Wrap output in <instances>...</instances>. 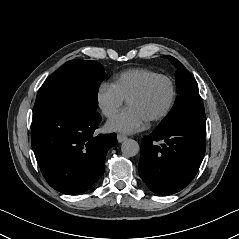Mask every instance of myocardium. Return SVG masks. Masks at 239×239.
Here are the masks:
<instances>
[{
	"instance_id": "myocardium-1",
	"label": "myocardium",
	"mask_w": 239,
	"mask_h": 239,
	"mask_svg": "<svg viewBox=\"0 0 239 239\" xmlns=\"http://www.w3.org/2000/svg\"><path fill=\"white\" fill-rule=\"evenodd\" d=\"M157 81H165L168 84L169 98H168V101H167L166 105L164 106V108L162 110H160L159 112H157L156 114L150 116L147 119L148 121L159 120V119L163 118L164 116H166L169 113V111L171 110L172 105L174 103V99H175V86H174V83L171 80V78L166 75H157L153 78H150L137 91L132 93L127 99V104H128L132 100L142 97L148 91V89L151 87V85Z\"/></svg>"
}]
</instances>
